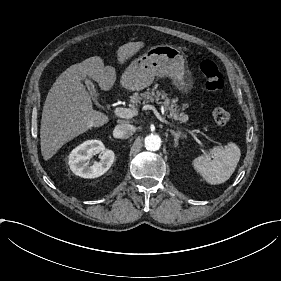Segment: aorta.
<instances>
[{"label": "aorta", "mask_w": 281, "mask_h": 281, "mask_svg": "<svg viewBox=\"0 0 281 281\" xmlns=\"http://www.w3.org/2000/svg\"><path fill=\"white\" fill-rule=\"evenodd\" d=\"M145 147L147 150L156 151L161 146V138L156 134H149L145 137Z\"/></svg>", "instance_id": "1"}]
</instances>
